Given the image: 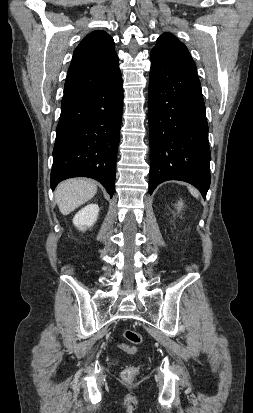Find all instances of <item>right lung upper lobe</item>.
<instances>
[{"label":"right lung upper lobe","mask_w":253,"mask_h":413,"mask_svg":"<svg viewBox=\"0 0 253 413\" xmlns=\"http://www.w3.org/2000/svg\"><path fill=\"white\" fill-rule=\"evenodd\" d=\"M119 70L113 38L102 30L91 32L73 53L62 103L91 93L108 82Z\"/></svg>","instance_id":"obj_1"}]
</instances>
